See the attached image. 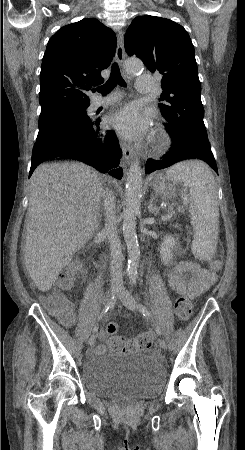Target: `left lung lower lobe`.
I'll return each mask as SVG.
<instances>
[{"mask_svg":"<svg viewBox=\"0 0 245 450\" xmlns=\"http://www.w3.org/2000/svg\"><path fill=\"white\" fill-rule=\"evenodd\" d=\"M197 158L207 162L217 173V165L211 151L209 143L185 142L177 143L173 141L172 148L161 159H148L145 167V173L149 174L155 170L170 167L176 162Z\"/></svg>","mask_w":245,"mask_h":450,"instance_id":"0a47b994","label":"left lung lower lobe"}]
</instances>
